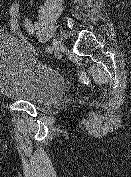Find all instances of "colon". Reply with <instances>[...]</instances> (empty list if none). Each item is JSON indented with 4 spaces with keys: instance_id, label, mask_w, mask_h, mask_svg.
I'll list each match as a JSON object with an SVG mask.
<instances>
[{
    "instance_id": "1",
    "label": "colon",
    "mask_w": 131,
    "mask_h": 177,
    "mask_svg": "<svg viewBox=\"0 0 131 177\" xmlns=\"http://www.w3.org/2000/svg\"><path fill=\"white\" fill-rule=\"evenodd\" d=\"M7 23L9 32L22 42L29 51L38 55L39 52L22 27V9L19 1L12 0L9 2L7 7Z\"/></svg>"
}]
</instances>
